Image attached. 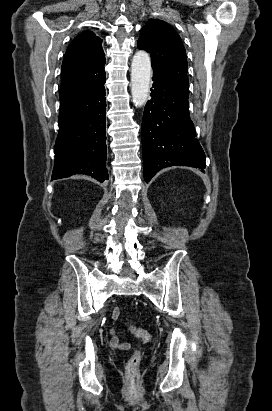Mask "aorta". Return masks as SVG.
Wrapping results in <instances>:
<instances>
[{"instance_id":"obj_1","label":"aorta","mask_w":272,"mask_h":411,"mask_svg":"<svg viewBox=\"0 0 272 411\" xmlns=\"http://www.w3.org/2000/svg\"><path fill=\"white\" fill-rule=\"evenodd\" d=\"M151 78V61L148 53H135L131 65V93L136 107H142L148 99Z\"/></svg>"}]
</instances>
